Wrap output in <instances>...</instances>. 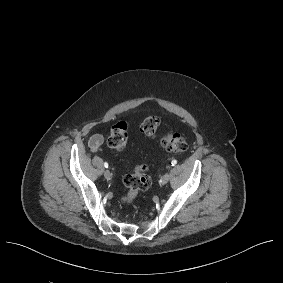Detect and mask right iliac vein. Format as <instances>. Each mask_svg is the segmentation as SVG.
<instances>
[{"mask_svg": "<svg viewBox=\"0 0 283 283\" xmlns=\"http://www.w3.org/2000/svg\"><path fill=\"white\" fill-rule=\"evenodd\" d=\"M103 175H104V177H105L106 179H109V178L111 177V173H110L109 170H105L104 173H103Z\"/></svg>", "mask_w": 283, "mask_h": 283, "instance_id": "1", "label": "right iliac vein"}]
</instances>
